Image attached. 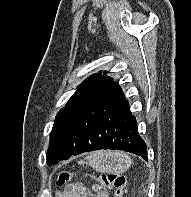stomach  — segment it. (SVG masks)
<instances>
[{
    "label": "stomach",
    "instance_id": "stomach-1",
    "mask_svg": "<svg viewBox=\"0 0 191 197\" xmlns=\"http://www.w3.org/2000/svg\"><path fill=\"white\" fill-rule=\"evenodd\" d=\"M87 164L101 173L121 174L128 170L131 162L119 152H95L86 158Z\"/></svg>",
    "mask_w": 191,
    "mask_h": 197
}]
</instances>
